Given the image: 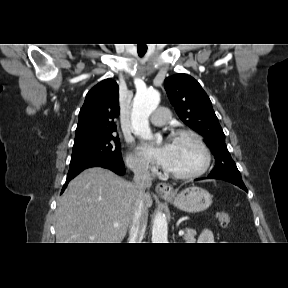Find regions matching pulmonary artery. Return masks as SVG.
I'll use <instances>...</instances> for the list:
<instances>
[{
  "instance_id": "pulmonary-artery-1",
  "label": "pulmonary artery",
  "mask_w": 288,
  "mask_h": 288,
  "mask_svg": "<svg viewBox=\"0 0 288 288\" xmlns=\"http://www.w3.org/2000/svg\"><path fill=\"white\" fill-rule=\"evenodd\" d=\"M170 119V112L165 107H158L153 115L151 122L154 127L166 124Z\"/></svg>"
}]
</instances>
